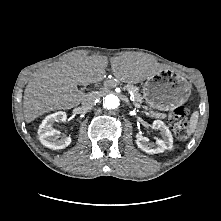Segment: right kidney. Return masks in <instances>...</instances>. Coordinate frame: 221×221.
Here are the masks:
<instances>
[{
    "instance_id": "obj_1",
    "label": "right kidney",
    "mask_w": 221,
    "mask_h": 221,
    "mask_svg": "<svg viewBox=\"0 0 221 221\" xmlns=\"http://www.w3.org/2000/svg\"><path fill=\"white\" fill-rule=\"evenodd\" d=\"M67 114L64 111H58L56 113L48 115L39 126L38 134L45 139L46 146L53 149H63L70 145L72 139L70 136L61 137L60 132L53 128L55 122L66 121Z\"/></svg>"
}]
</instances>
